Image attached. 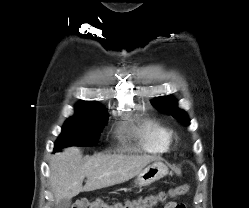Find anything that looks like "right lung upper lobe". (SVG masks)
I'll list each match as a JSON object with an SVG mask.
<instances>
[{"instance_id":"1","label":"right lung upper lobe","mask_w":249,"mask_h":208,"mask_svg":"<svg viewBox=\"0 0 249 208\" xmlns=\"http://www.w3.org/2000/svg\"><path fill=\"white\" fill-rule=\"evenodd\" d=\"M76 109L92 110L96 112H106V110L103 109V107L96 102H86V101L79 102L76 105Z\"/></svg>"}]
</instances>
